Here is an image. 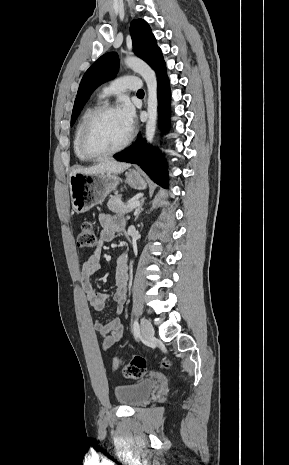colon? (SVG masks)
Instances as JSON below:
<instances>
[{
    "mask_svg": "<svg viewBox=\"0 0 289 465\" xmlns=\"http://www.w3.org/2000/svg\"><path fill=\"white\" fill-rule=\"evenodd\" d=\"M77 245L83 249H93L97 245V238L95 234L94 225L90 221H84L77 236ZM122 364V359L115 358L113 366L119 367ZM163 367H168L169 362L162 360ZM146 363L140 357L132 358L123 368V373L126 377L132 379H140L145 375Z\"/></svg>",
    "mask_w": 289,
    "mask_h": 465,
    "instance_id": "colon-1",
    "label": "colon"
}]
</instances>
